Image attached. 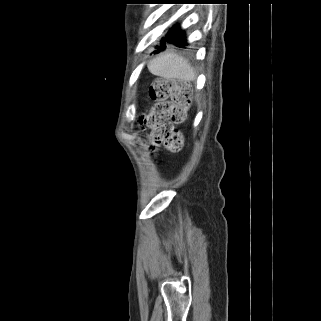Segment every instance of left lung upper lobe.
<instances>
[{"instance_id": "left-lung-upper-lobe-1", "label": "left lung upper lobe", "mask_w": 321, "mask_h": 321, "mask_svg": "<svg viewBox=\"0 0 321 321\" xmlns=\"http://www.w3.org/2000/svg\"><path fill=\"white\" fill-rule=\"evenodd\" d=\"M165 1H175V2H176V1H180V0H165ZM176 3H177V2H176Z\"/></svg>"}]
</instances>
